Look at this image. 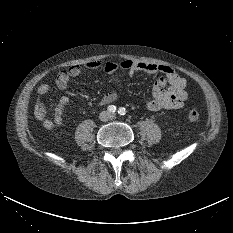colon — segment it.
Segmentation results:
<instances>
[{
  "label": "colon",
  "instance_id": "obj_1",
  "mask_svg": "<svg viewBox=\"0 0 233 233\" xmlns=\"http://www.w3.org/2000/svg\"><path fill=\"white\" fill-rule=\"evenodd\" d=\"M187 116H188V119L190 121H192V122H197L200 119V115H199L198 111H196L195 109H190L188 111V115Z\"/></svg>",
  "mask_w": 233,
  "mask_h": 233
}]
</instances>
